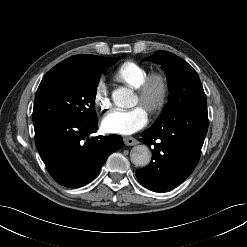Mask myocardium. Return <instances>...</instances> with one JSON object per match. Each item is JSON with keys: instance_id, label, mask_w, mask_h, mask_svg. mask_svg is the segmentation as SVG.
Returning a JSON list of instances; mask_svg holds the SVG:
<instances>
[{"instance_id": "obj_1", "label": "myocardium", "mask_w": 247, "mask_h": 247, "mask_svg": "<svg viewBox=\"0 0 247 247\" xmlns=\"http://www.w3.org/2000/svg\"><path fill=\"white\" fill-rule=\"evenodd\" d=\"M136 93L140 104L150 114H158L165 107L169 97V79L162 72H152L136 88Z\"/></svg>"}]
</instances>
